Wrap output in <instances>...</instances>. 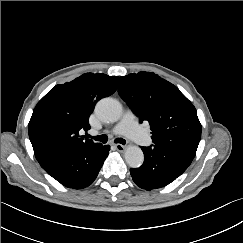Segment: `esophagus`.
I'll return each mask as SVG.
<instances>
[{
	"label": "esophagus",
	"instance_id": "esophagus-1",
	"mask_svg": "<svg viewBox=\"0 0 243 243\" xmlns=\"http://www.w3.org/2000/svg\"><path fill=\"white\" fill-rule=\"evenodd\" d=\"M114 147H115V149H116L117 151H120V152H122V151L125 150V146H123V145H121V144H115Z\"/></svg>",
	"mask_w": 243,
	"mask_h": 243
}]
</instances>
